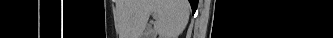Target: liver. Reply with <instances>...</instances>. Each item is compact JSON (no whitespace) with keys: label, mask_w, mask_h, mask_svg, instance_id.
<instances>
[{"label":"liver","mask_w":333,"mask_h":38,"mask_svg":"<svg viewBox=\"0 0 333 38\" xmlns=\"http://www.w3.org/2000/svg\"><path fill=\"white\" fill-rule=\"evenodd\" d=\"M187 0H137L136 33L141 36L150 15L155 14L154 31L160 38H177L189 20Z\"/></svg>","instance_id":"liver-1"}]
</instances>
